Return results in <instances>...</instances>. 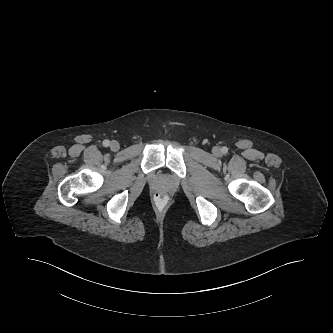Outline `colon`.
Instances as JSON below:
<instances>
[{
    "mask_svg": "<svg viewBox=\"0 0 333 333\" xmlns=\"http://www.w3.org/2000/svg\"><path fill=\"white\" fill-rule=\"evenodd\" d=\"M154 198L157 201H164L167 198V196L163 193H157V194H155Z\"/></svg>",
    "mask_w": 333,
    "mask_h": 333,
    "instance_id": "obj_1",
    "label": "colon"
}]
</instances>
